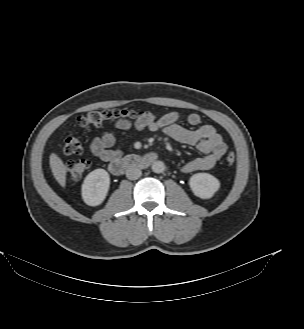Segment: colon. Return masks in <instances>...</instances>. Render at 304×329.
Returning a JSON list of instances; mask_svg holds the SVG:
<instances>
[{
    "instance_id": "1",
    "label": "colon",
    "mask_w": 304,
    "mask_h": 329,
    "mask_svg": "<svg viewBox=\"0 0 304 329\" xmlns=\"http://www.w3.org/2000/svg\"><path fill=\"white\" fill-rule=\"evenodd\" d=\"M155 115L150 112H140L134 110H99L92 111L82 115L77 120V126L81 129L91 127H101L107 124H114L120 121L131 123H150L154 120ZM82 150L81 143L75 137H66L63 141V151L68 155L78 154ZM225 161L228 165L235 162V153L228 149L225 155ZM90 162L87 159H79L69 163L67 167V178L70 181L81 179L89 169Z\"/></svg>"
}]
</instances>
